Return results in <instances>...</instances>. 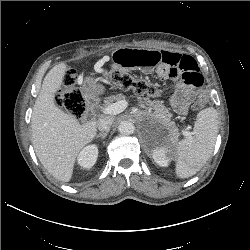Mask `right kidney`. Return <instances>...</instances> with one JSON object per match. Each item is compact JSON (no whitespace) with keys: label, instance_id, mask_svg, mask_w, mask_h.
Masks as SVG:
<instances>
[{"label":"right kidney","instance_id":"right-kidney-1","mask_svg":"<svg viewBox=\"0 0 250 250\" xmlns=\"http://www.w3.org/2000/svg\"><path fill=\"white\" fill-rule=\"evenodd\" d=\"M97 157L98 147L95 144H92L86 146L80 151L77 161L81 167L89 169L95 164Z\"/></svg>","mask_w":250,"mask_h":250}]
</instances>
